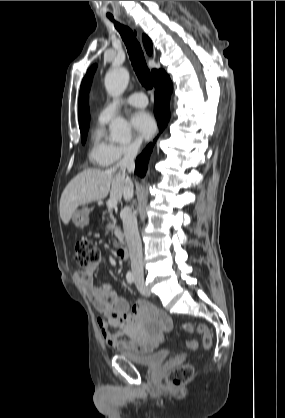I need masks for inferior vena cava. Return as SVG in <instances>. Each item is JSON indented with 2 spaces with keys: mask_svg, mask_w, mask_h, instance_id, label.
I'll return each instance as SVG.
<instances>
[{
  "mask_svg": "<svg viewBox=\"0 0 285 418\" xmlns=\"http://www.w3.org/2000/svg\"><path fill=\"white\" fill-rule=\"evenodd\" d=\"M138 152V146L132 144L126 150L124 157L115 166V170L119 176L125 177L126 170L133 172L135 168V158ZM134 194L133 183L129 177L125 179L123 188V197L126 201H130ZM123 229L126 242L129 248L131 261V270L134 276H143V254L142 243L138 232L137 218L130 207H125L122 213Z\"/></svg>",
  "mask_w": 285,
  "mask_h": 418,
  "instance_id": "1",
  "label": "inferior vena cava"
}]
</instances>
